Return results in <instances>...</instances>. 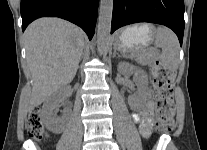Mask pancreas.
<instances>
[{
  "label": "pancreas",
  "mask_w": 207,
  "mask_h": 150,
  "mask_svg": "<svg viewBox=\"0 0 207 150\" xmlns=\"http://www.w3.org/2000/svg\"><path fill=\"white\" fill-rule=\"evenodd\" d=\"M136 60L141 65H148L153 60V54L150 51H140L135 54Z\"/></svg>",
  "instance_id": "pancreas-1"
}]
</instances>
